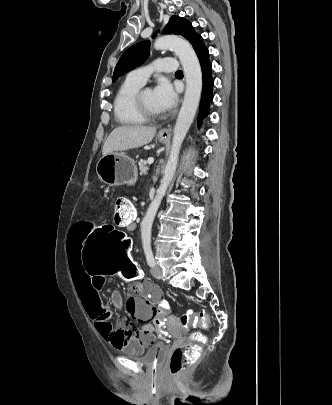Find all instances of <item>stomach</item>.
I'll use <instances>...</instances> for the list:
<instances>
[{
  "mask_svg": "<svg viewBox=\"0 0 332 405\" xmlns=\"http://www.w3.org/2000/svg\"><path fill=\"white\" fill-rule=\"evenodd\" d=\"M161 143L167 137L158 135ZM96 172L100 180L108 185L133 184L138 178V171L134 160L124 152H111L103 155L97 162Z\"/></svg>",
  "mask_w": 332,
  "mask_h": 405,
  "instance_id": "0dacf381",
  "label": "stomach"
}]
</instances>
